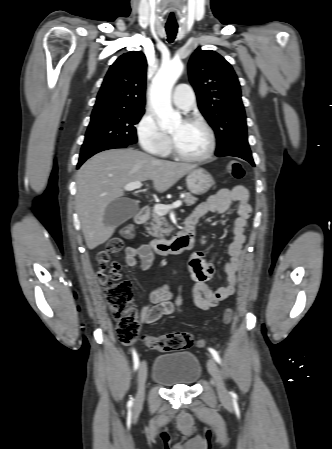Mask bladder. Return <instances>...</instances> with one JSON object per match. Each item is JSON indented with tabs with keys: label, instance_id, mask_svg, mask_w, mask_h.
Here are the masks:
<instances>
[{
	"label": "bladder",
	"instance_id": "obj_1",
	"mask_svg": "<svg viewBox=\"0 0 332 449\" xmlns=\"http://www.w3.org/2000/svg\"><path fill=\"white\" fill-rule=\"evenodd\" d=\"M201 374V362L192 352L161 354L156 357L152 369L153 380L167 387L191 386Z\"/></svg>",
	"mask_w": 332,
	"mask_h": 449
}]
</instances>
